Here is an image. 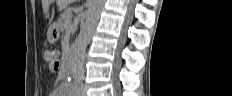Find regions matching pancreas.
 <instances>
[{
    "label": "pancreas",
    "instance_id": "1",
    "mask_svg": "<svg viewBox=\"0 0 232 96\" xmlns=\"http://www.w3.org/2000/svg\"><path fill=\"white\" fill-rule=\"evenodd\" d=\"M72 12L71 9H66L61 15V22L59 23L60 30L67 31L71 25Z\"/></svg>",
    "mask_w": 232,
    "mask_h": 96
}]
</instances>
